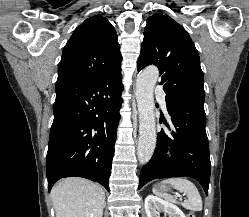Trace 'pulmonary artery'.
Returning <instances> with one entry per match:
<instances>
[{"label": "pulmonary artery", "mask_w": 249, "mask_h": 217, "mask_svg": "<svg viewBox=\"0 0 249 217\" xmlns=\"http://www.w3.org/2000/svg\"><path fill=\"white\" fill-rule=\"evenodd\" d=\"M155 94H156L157 97L159 98V102H160L162 108H163V109H166L165 93H164V91L161 89V87H156V88H155Z\"/></svg>", "instance_id": "pulmonary-artery-1"}]
</instances>
